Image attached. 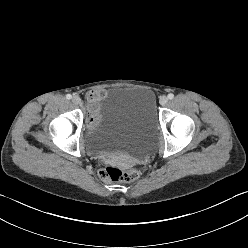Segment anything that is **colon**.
Instances as JSON below:
<instances>
[{
	"label": "colon",
	"mask_w": 248,
	"mask_h": 248,
	"mask_svg": "<svg viewBox=\"0 0 248 248\" xmlns=\"http://www.w3.org/2000/svg\"><path fill=\"white\" fill-rule=\"evenodd\" d=\"M99 175L104 181L130 182L138 178L140 170L138 168L121 169L116 166H108L102 168Z\"/></svg>",
	"instance_id": "colon-1"
}]
</instances>
